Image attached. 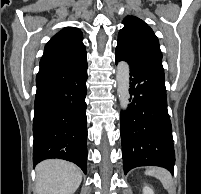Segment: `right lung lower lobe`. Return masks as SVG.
I'll list each match as a JSON object with an SVG mask.
<instances>
[{"label": "right lung lower lobe", "mask_w": 201, "mask_h": 194, "mask_svg": "<svg viewBox=\"0 0 201 194\" xmlns=\"http://www.w3.org/2000/svg\"><path fill=\"white\" fill-rule=\"evenodd\" d=\"M87 63L73 69L42 70L36 76L34 103V165L59 158L86 174Z\"/></svg>", "instance_id": "1"}]
</instances>
